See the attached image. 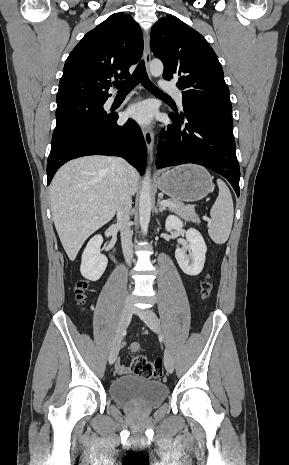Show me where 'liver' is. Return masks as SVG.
Instances as JSON below:
<instances>
[{
  "instance_id": "obj_1",
  "label": "liver",
  "mask_w": 289,
  "mask_h": 465,
  "mask_svg": "<svg viewBox=\"0 0 289 465\" xmlns=\"http://www.w3.org/2000/svg\"><path fill=\"white\" fill-rule=\"evenodd\" d=\"M125 175L131 195L137 191L139 174L127 165ZM118 171L113 158L85 156L69 161L50 185V205L63 248L74 261L86 239L109 222L117 204Z\"/></svg>"
}]
</instances>
